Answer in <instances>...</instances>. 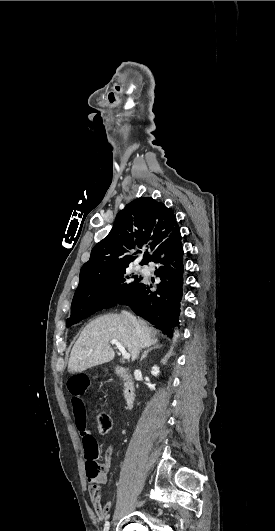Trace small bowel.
<instances>
[{"label": "small bowel", "instance_id": "obj_1", "mask_svg": "<svg viewBox=\"0 0 275 531\" xmlns=\"http://www.w3.org/2000/svg\"><path fill=\"white\" fill-rule=\"evenodd\" d=\"M97 377L94 374L91 375H70L68 377V383L66 385L67 390L69 391L71 408L73 410V415L75 417H84L87 413L86 410V400L84 399L86 393L84 388H88V385L96 382ZM76 426L79 431L82 445L87 448L89 445L96 443L93 435L85 427V422L81 424L79 421H76ZM91 481L88 488V495L90 502L95 510V513L98 519H104L110 510L113 507L112 501H107L105 503L101 500V486L107 482V473L101 472L95 478H89Z\"/></svg>", "mask_w": 275, "mask_h": 531}]
</instances>
